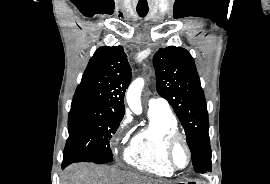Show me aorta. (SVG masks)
I'll list each match as a JSON object with an SVG mask.
<instances>
[{
	"label": "aorta",
	"mask_w": 270,
	"mask_h": 184,
	"mask_svg": "<svg viewBox=\"0 0 270 184\" xmlns=\"http://www.w3.org/2000/svg\"><path fill=\"white\" fill-rule=\"evenodd\" d=\"M143 86L144 80L142 78H137L130 84L126 92L127 104L135 114H140L142 112L141 92Z\"/></svg>",
	"instance_id": "1"
}]
</instances>
